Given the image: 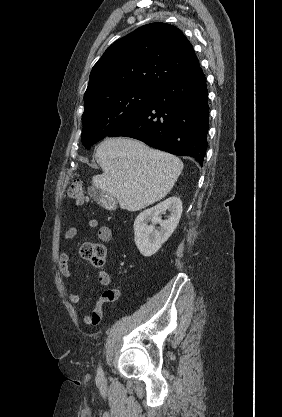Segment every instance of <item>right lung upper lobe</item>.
<instances>
[{"instance_id":"1","label":"right lung upper lobe","mask_w":282,"mask_h":417,"mask_svg":"<svg viewBox=\"0 0 282 417\" xmlns=\"http://www.w3.org/2000/svg\"><path fill=\"white\" fill-rule=\"evenodd\" d=\"M199 67L180 29L165 23L147 24L107 48L91 71L84 100L127 88L157 90Z\"/></svg>"}]
</instances>
